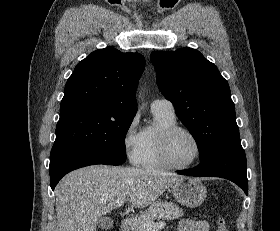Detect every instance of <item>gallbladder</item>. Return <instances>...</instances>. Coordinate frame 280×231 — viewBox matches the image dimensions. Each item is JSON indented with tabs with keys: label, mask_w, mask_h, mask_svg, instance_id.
<instances>
[{
	"label": "gallbladder",
	"mask_w": 280,
	"mask_h": 231,
	"mask_svg": "<svg viewBox=\"0 0 280 231\" xmlns=\"http://www.w3.org/2000/svg\"><path fill=\"white\" fill-rule=\"evenodd\" d=\"M113 225L114 219H111V217H99L98 227H101V229H110Z\"/></svg>",
	"instance_id": "gallbladder-1"
}]
</instances>
